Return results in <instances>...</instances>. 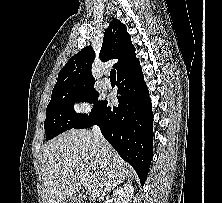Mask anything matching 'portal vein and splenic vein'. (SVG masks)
I'll return each mask as SVG.
<instances>
[{
    "label": "portal vein and splenic vein",
    "mask_w": 222,
    "mask_h": 203,
    "mask_svg": "<svg viewBox=\"0 0 222 203\" xmlns=\"http://www.w3.org/2000/svg\"><path fill=\"white\" fill-rule=\"evenodd\" d=\"M82 185H83L84 187H87V186H88V182H87L86 179H83V180H82Z\"/></svg>",
    "instance_id": "18ae733b"
}]
</instances>
